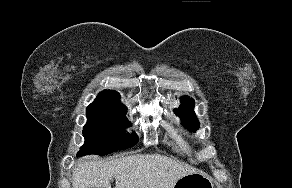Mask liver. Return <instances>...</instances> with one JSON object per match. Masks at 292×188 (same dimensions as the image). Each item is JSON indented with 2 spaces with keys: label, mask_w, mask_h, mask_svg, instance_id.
I'll use <instances>...</instances> for the list:
<instances>
[{
  "label": "liver",
  "mask_w": 292,
  "mask_h": 188,
  "mask_svg": "<svg viewBox=\"0 0 292 188\" xmlns=\"http://www.w3.org/2000/svg\"><path fill=\"white\" fill-rule=\"evenodd\" d=\"M195 172L161 154H137L112 161L80 160L72 188H173L184 175Z\"/></svg>",
  "instance_id": "6515ba94"
}]
</instances>
